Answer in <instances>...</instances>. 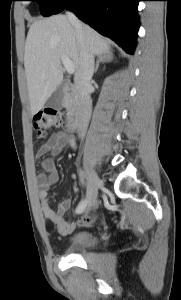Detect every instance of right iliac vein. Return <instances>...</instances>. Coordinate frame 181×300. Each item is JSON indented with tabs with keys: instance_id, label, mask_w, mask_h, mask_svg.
<instances>
[{
	"instance_id": "1",
	"label": "right iliac vein",
	"mask_w": 181,
	"mask_h": 300,
	"mask_svg": "<svg viewBox=\"0 0 181 300\" xmlns=\"http://www.w3.org/2000/svg\"><path fill=\"white\" fill-rule=\"evenodd\" d=\"M101 180L92 172L90 175V182L88 187V210L96 206V198L98 194V188L101 186Z\"/></svg>"
}]
</instances>
